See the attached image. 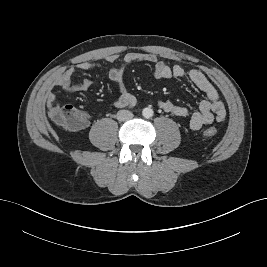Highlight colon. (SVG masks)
Returning <instances> with one entry per match:
<instances>
[{"mask_svg":"<svg viewBox=\"0 0 267 267\" xmlns=\"http://www.w3.org/2000/svg\"><path fill=\"white\" fill-rule=\"evenodd\" d=\"M54 121L67 130H78L83 124V119L81 115L72 107H64L60 109ZM204 136L213 137L216 135L215 128H207L203 131Z\"/></svg>","mask_w":267,"mask_h":267,"instance_id":"5ec220e1","label":"colon"}]
</instances>
